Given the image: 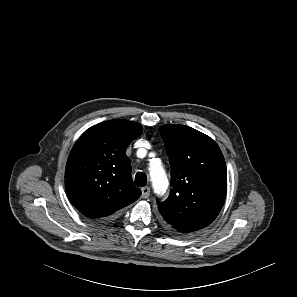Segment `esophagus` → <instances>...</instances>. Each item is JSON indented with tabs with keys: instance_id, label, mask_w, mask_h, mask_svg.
<instances>
[{
	"instance_id": "1",
	"label": "esophagus",
	"mask_w": 297,
	"mask_h": 297,
	"mask_svg": "<svg viewBox=\"0 0 297 297\" xmlns=\"http://www.w3.org/2000/svg\"><path fill=\"white\" fill-rule=\"evenodd\" d=\"M150 196V188L149 187H143L141 188V197L146 199Z\"/></svg>"
}]
</instances>
